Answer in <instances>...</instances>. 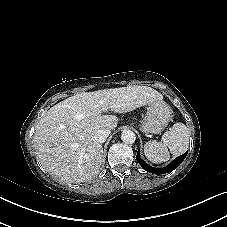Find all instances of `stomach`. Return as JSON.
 I'll return each mask as SVG.
<instances>
[{"label": "stomach", "mask_w": 227, "mask_h": 227, "mask_svg": "<svg viewBox=\"0 0 227 227\" xmlns=\"http://www.w3.org/2000/svg\"><path fill=\"white\" fill-rule=\"evenodd\" d=\"M172 117L171 107L163 101L149 104L146 115L139 125L143 133L158 134L164 130Z\"/></svg>", "instance_id": "1"}]
</instances>
